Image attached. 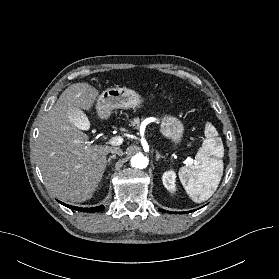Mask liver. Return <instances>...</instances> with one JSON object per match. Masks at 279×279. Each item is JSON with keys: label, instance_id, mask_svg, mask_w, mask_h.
<instances>
[{"label": "liver", "instance_id": "liver-1", "mask_svg": "<svg viewBox=\"0 0 279 279\" xmlns=\"http://www.w3.org/2000/svg\"><path fill=\"white\" fill-rule=\"evenodd\" d=\"M98 94L86 82L70 85L39 127L37 162L45 186L62 201L78 203L91 199L105 172L106 157L113 147L88 142V135L68 116L72 107L89 111ZM84 117L88 122L85 114Z\"/></svg>", "mask_w": 279, "mask_h": 279}]
</instances>
